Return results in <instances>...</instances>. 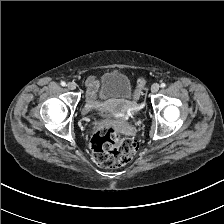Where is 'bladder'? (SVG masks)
Masks as SVG:
<instances>
[{
    "label": "bladder",
    "mask_w": 224,
    "mask_h": 224,
    "mask_svg": "<svg viewBox=\"0 0 224 224\" xmlns=\"http://www.w3.org/2000/svg\"><path fill=\"white\" fill-rule=\"evenodd\" d=\"M98 95L103 103L119 102L126 107L132 95L131 80L126 74L119 71L105 72L100 78ZM103 110L114 112L107 107Z\"/></svg>",
    "instance_id": "31cf9c89"
}]
</instances>
